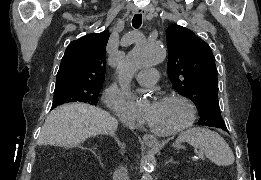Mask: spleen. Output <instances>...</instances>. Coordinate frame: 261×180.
Wrapping results in <instances>:
<instances>
[{
	"label": "spleen",
	"instance_id": "1",
	"mask_svg": "<svg viewBox=\"0 0 261 180\" xmlns=\"http://www.w3.org/2000/svg\"><path fill=\"white\" fill-rule=\"evenodd\" d=\"M177 142H188L193 148L203 150L206 158L216 166H231L234 164V154L225 140L207 128H189L179 134Z\"/></svg>",
	"mask_w": 261,
	"mask_h": 180
}]
</instances>
